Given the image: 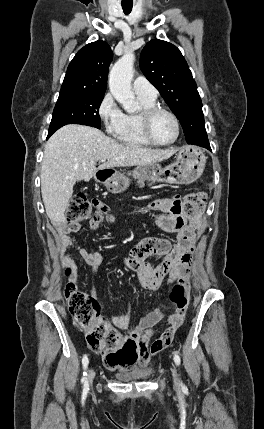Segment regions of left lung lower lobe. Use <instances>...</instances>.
Listing matches in <instances>:
<instances>
[{"label":"left lung lower lobe","instance_id":"1","mask_svg":"<svg viewBox=\"0 0 264 429\" xmlns=\"http://www.w3.org/2000/svg\"><path fill=\"white\" fill-rule=\"evenodd\" d=\"M199 146H202V147L207 148L208 150H211L209 143H204V144L199 145Z\"/></svg>","mask_w":264,"mask_h":429}]
</instances>
